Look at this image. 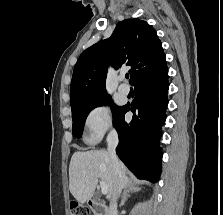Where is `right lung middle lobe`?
<instances>
[{
    "label": "right lung middle lobe",
    "instance_id": "right-lung-middle-lobe-1",
    "mask_svg": "<svg viewBox=\"0 0 223 215\" xmlns=\"http://www.w3.org/2000/svg\"><path fill=\"white\" fill-rule=\"evenodd\" d=\"M104 104L110 105L112 112H113V124L114 127L118 122L119 117L122 114L124 106H116L110 96L101 98L91 103L82 104L72 108V119H73V126H72V133L75 138H80L82 135L84 123L88 113L95 107L102 106Z\"/></svg>",
    "mask_w": 223,
    "mask_h": 215
}]
</instances>
